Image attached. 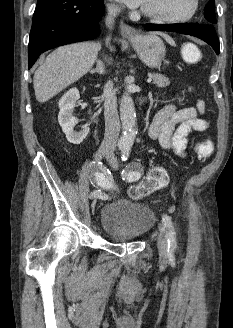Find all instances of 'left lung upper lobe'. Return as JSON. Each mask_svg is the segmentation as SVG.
<instances>
[{"instance_id": "5c2ea615", "label": "left lung upper lobe", "mask_w": 233, "mask_h": 328, "mask_svg": "<svg viewBox=\"0 0 233 328\" xmlns=\"http://www.w3.org/2000/svg\"><path fill=\"white\" fill-rule=\"evenodd\" d=\"M204 16L207 21H209L212 24L216 23V17H215V8H214V0H210L206 7H205V13Z\"/></svg>"}]
</instances>
